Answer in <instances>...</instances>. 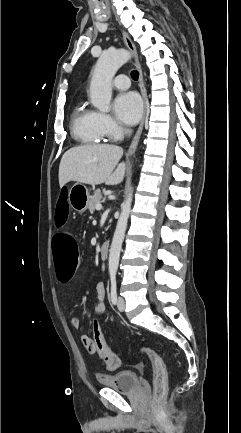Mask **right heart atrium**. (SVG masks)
<instances>
[{"mask_svg": "<svg viewBox=\"0 0 241 433\" xmlns=\"http://www.w3.org/2000/svg\"><path fill=\"white\" fill-rule=\"evenodd\" d=\"M98 121L101 129L107 136L116 138L122 133V128L110 115L98 113Z\"/></svg>", "mask_w": 241, "mask_h": 433, "instance_id": "right-heart-atrium-1", "label": "right heart atrium"}]
</instances>
